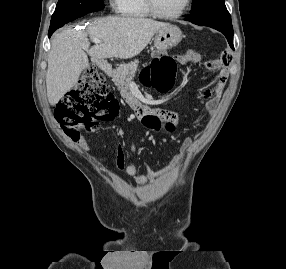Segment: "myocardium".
Wrapping results in <instances>:
<instances>
[{
    "label": "myocardium",
    "instance_id": "myocardium-1",
    "mask_svg": "<svg viewBox=\"0 0 286 269\" xmlns=\"http://www.w3.org/2000/svg\"><path fill=\"white\" fill-rule=\"evenodd\" d=\"M145 5L149 13L159 19H166V20H172V19H177L181 17L182 15L185 14V12L188 10V8L191 5V0H186L183 7L176 13L174 14H164L160 12L156 6L155 0H144Z\"/></svg>",
    "mask_w": 286,
    "mask_h": 269
}]
</instances>
